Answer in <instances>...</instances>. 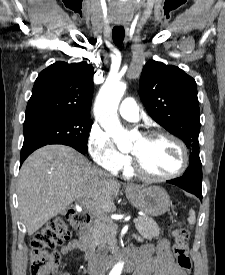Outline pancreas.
<instances>
[{"mask_svg": "<svg viewBox=\"0 0 225 275\" xmlns=\"http://www.w3.org/2000/svg\"><path fill=\"white\" fill-rule=\"evenodd\" d=\"M140 221L136 223V229L141 236L148 240L159 238L162 233L157 223L148 217L140 216ZM90 240L93 245L113 244L117 226L110 220H95L90 226Z\"/></svg>", "mask_w": 225, "mask_h": 275, "instance_id": "pancreas-1", "label": "pancreas"}]
</instances>
